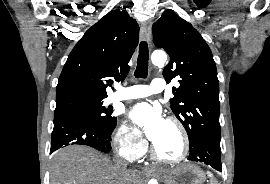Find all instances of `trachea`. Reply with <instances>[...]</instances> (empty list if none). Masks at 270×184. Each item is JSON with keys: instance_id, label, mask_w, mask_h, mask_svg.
<instances>
[{"instance_id": "1", "label": "trachea", "mask_w": 270, "mask_h": 184, "mask_svg": "<svg viewBox=\"0 0 270 184\" xmlns=\"http://www.w3.org/2000/svg\"><path fill=\"white\" fill-rule=\"evenodd\" d=\"M149 51L147 42L142 41L139 46V56L135 70L136 78H146L148 74Z\"/></svg>"}]
</instances>
